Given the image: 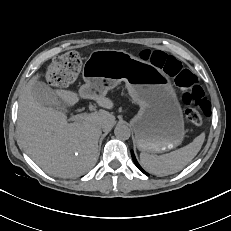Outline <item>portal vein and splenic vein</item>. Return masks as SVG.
Listing matches in <instances>:
<instances>
[{"mask_svg": "<svg viewBox=\"0 0 231 231\" xmlns=\"http://www.w3.org/2000/svg\"><path fill=\"white\" fill-rule=\"evenodd\" d=\"M85 117H86V113L78 114L72 117V120L79 121V120H83Z\"/></svg>", "mask_w": 231, "mask_h": 231, "instance_id": "1", "label": "portal vein and splenic vein"}]
</instances>
